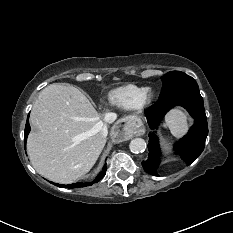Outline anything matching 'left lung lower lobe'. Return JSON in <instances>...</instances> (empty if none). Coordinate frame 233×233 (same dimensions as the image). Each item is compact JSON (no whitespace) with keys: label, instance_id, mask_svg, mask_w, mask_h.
<instances>
[{"label":"left lung lower lobe","instance_id":"1","mask_svg":"<svg viewBox=\"0 0 233 233\" xmlns=\"http://www.w3.org/2000/svg\"><path fill=\"white\" fill-rule=\"evenodd\" d=\"M184 107L195 119L193 126L175 146V153L190 165L203 151L206 137L208 135L207 117L205 114L203 98L198 87H186L172 92L152 108L145 112L149 127L154 130L161 122L164 115L174 106ZM149 155L146 161L142 162L145 172L157 176L159 159V144L156 134H149Z\"/></svg>","mask_w":233,"mask_h":233}]
</instances>
